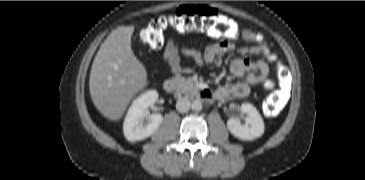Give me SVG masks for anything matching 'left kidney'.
<instances>
[{
  "instance_id": "left-kidney-1",
  "label": "left kidney",
  "mask_w": 365,
  "mask_h": 180,
  "mask_svg": "<svg viewBox=\"0 0 365 180\" xmlns=\"http://www.w3.org/2000/svg\"><path fill=\"white\" fill-rule=\"evenodd\" d=\"M240 111L246 114L245 123L241 124L239 118H230L227 121L229 131L239 139L253 140L264 133V122L257 109L249 103H243Z\"/></svg>"
}]
</instances>
